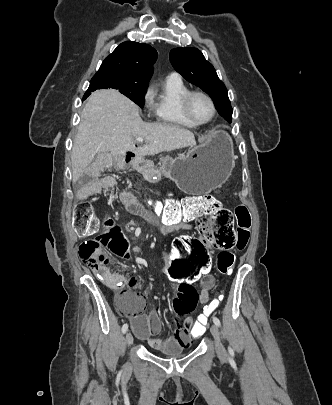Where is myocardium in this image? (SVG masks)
<instances>
[{
  "label": "myocardium",
  "mask_w": 332,
  "mask_h": 405,
  "mask_svg": "<svg viewBox=\"0 0 332 405\" xmlns=\"http://www.w3.org/2000/svg\"><path fill=\"white\" fill-rule=\"evenodd\" d=\"M196 95L205 97L211 104L212 114L205 121H198L191 114L190 102H191V99ZM181 111L187 120H189L196 126H202V125H206V124L210 123L215 118L216 113H217V107H216L214 99L207 92L201 91V90H189L187 93L184 94V96L181 99Z\"/></svg>",
  "instance_id": "obj_1"
}]
</instances>
